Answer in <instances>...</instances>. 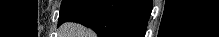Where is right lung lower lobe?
I'll use <instances>...</instances> for the list:
<instances>
[{"label": "right lung lower lobe", "mask_w": 219, "mask_h": 37, "mask_svg": "<svg viewBox=\"0 0 219 37\" xmlns=\"http://www.w3.org/2000/svg\"><path fill=\"white\" fill-rule=\"evenodd\" d=\"M152 0H75L60 12L59 24L77 22L98 37H143Z\"/></svg>", "instance_id": "98d812e1"}]
</instances>
